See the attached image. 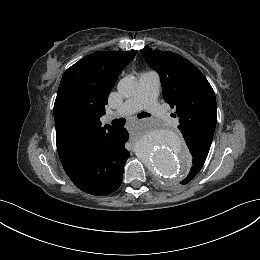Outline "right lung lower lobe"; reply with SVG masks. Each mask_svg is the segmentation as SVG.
<instances>
[{
  "label": "right lung lower lobe",
  "mask_w": 260,
  "mask_h": 260,
  "mask_svg": "<svg viewBox=\"0 0 260 260\" xmlns=\"http://www.w3.org/2000/svg\"><path fill=\"white\" fill-rule=\"evenodd\" d=\"M129 134L125 128L92 142L63 162L72 182L92 195H108L121 185L124 165L130 156L125 148Z\"/></svg>",
  "instance_id": "1"
}]
</instances>
